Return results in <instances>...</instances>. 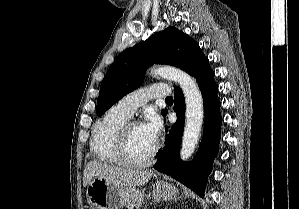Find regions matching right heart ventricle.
I'll return each mask as SVG.
<instances>
[{"label": "right heart ventricle", "instance_id": "right-heart-ventricle-1", "mask_svg": "<svg viewBox=\"0 0 299 209\" xmlns=\"http://www.w3.org/2000/svg\"><path fill=\"white\" fill-rule=\"evenodd\" d=\"M129 117L116 106L110 108L94 125L90 147L98 160L118 164L117 136Z\"/></svg>", "mask_w": 299, "mask_h": 209}]
</instances>
